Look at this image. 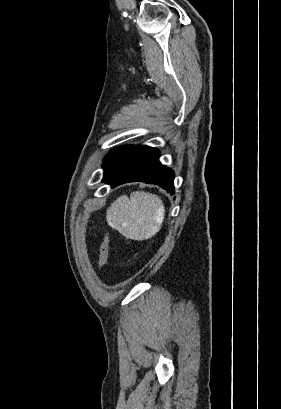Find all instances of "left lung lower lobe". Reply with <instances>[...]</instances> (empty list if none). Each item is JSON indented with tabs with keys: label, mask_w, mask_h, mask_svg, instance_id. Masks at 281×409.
Returning a JSON list of instances; mask_svg holds the SVG:
<instances>
[{
	"label": "left lung lower lobe",
	"mask_w": 281,
	"mask_h": 409,
	"mask_svg": "<svg viewBox=\"0 0 281 409\" xmlns=\"http://www.w3.org/2000/svg\"><path fill=\"white\" fill-rule=\"evenodd\" d=\"M160 153L149 146H132L109 161L102 181L112 187L142 181L156 184L174 194V172L158 160Z\"/></svg>",
	"instance_id": "0a47b994"
}]
</instances>
